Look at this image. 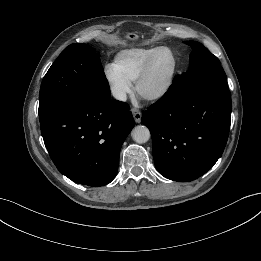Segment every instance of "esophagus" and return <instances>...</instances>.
Wrapping results in <instances>:
<instances>
[{"label": "esophagus", "mask_w": 261, "mask_h": 261, "mask_svg": "<svg viewBox=\"0 0 261 261\" xmlns=\"http://www.w3.org/2000/svg\"><path fill=\"white\" fill-rule=\"evenodd\" d=\"M131 111H132L133 118H134L135 122L140 123L141 118H142V113L136 108H132Z\"/></svg>", "instance_id": "1"}]
</instances>
